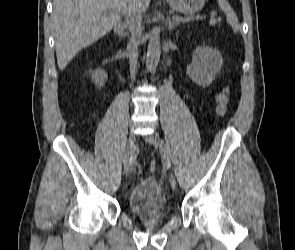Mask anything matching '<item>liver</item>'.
<instances>
[{
	"mask_svg": "<svg viewBox=\"0 0 295 250\" xmlns=\"http://www.w3.org/2000/svg\"><path fill=\"white\" fill-rule=\"evenodd\" d=\"M129 0H54L53 31L58 67L62 71L73 57L110 32L125 14ZM146 12L150 0H136Z\"/></svg>",
	"mask_w": 295,
	"mask_h": 250,
	"instance_id": "6515ba94",
	"label": "liver"
}]
</instances>
